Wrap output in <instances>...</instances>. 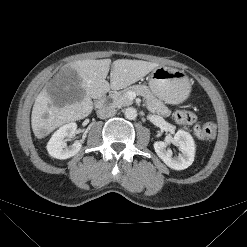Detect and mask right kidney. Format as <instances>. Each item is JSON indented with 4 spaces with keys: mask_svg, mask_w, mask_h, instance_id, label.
<instances>
[{
    "mask_svg": "<svg viewBox=\"0 0 247 247\" xmlns=\"http://www.w3.org/2000/svg\"><path fill=\"white\" fill-rule=\"evenodd\" d=\"M77 124L74 122L68 123L60 127L50 138L47 144L48 153L57 159H67L76 155L82 144L75 141L71 146L67 147L66 137H72L76 131Z\"/></svg>",
    "mask_w": 247,
    "mask_h": 247,
    "instance_id": "1",
    "label": "right kidney"
}]
</instances>
